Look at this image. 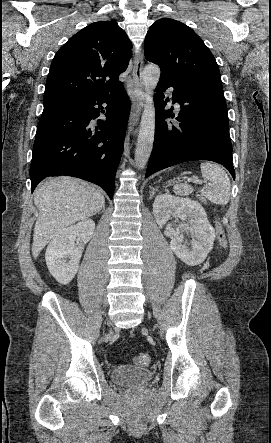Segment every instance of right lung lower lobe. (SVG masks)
<instances>
[{
    "label": "right lung lower lobe",
    "mask_w": 271,
    "mask_h": 443,
    "mask_svg": "<svg viewBox=\"0 0 271 443\" xmlns=\"http://www.w3.org/2000/svg\"><path fill=\"white\" fill-rule=\"evenodd\" d=\"M103 103L106 121L97 120L94 134L90 122L104 112ZM129 112L124 88L111 96L44 106L30 166L32 192L44 178L66 175L101 186L112 199Z\"/></svg>",
    "instance_id": "obj_1"
}]
</instances>
